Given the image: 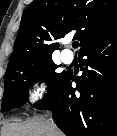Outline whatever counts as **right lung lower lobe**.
Returning <instances> with one entry per match:
<instances>
[{"instance_id":"1","label":"right lung lower lobe","mask_w":117,"mask_h":136,"mask_svg":"<svg viewBox=\"0 0 117 136\" xmlns=\"http://www.w3.org/2000/svg\"><path fill=\"white\" fill-rule=\"evenodd\" d=\"M79 56L83 74L67 72L35 107L52 109L67 136H117V28L86 44Z\"/></svg>"}]
</instances>
